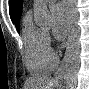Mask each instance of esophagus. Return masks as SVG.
<instances>
[{
    "label": "esophagus",
    "mask_w": 89,
    "mask_h": 89,
    "mask_svg": "<svg viewBox=\"0 0 89 89\" xmlns=\"http://www.w3.org/2000/svg\"><path fill=\"white\" fill-rule=\"evenodd\" d=\"M70 42H71V30L69 28L66 51H65L64 57H63L60 65H59L58 69L55 72V79L56 80H60L62 78L64 71L66 69L68 59H69Z\"/></svg>",
    "instance_id": "esophagus-1"
}]
</instances>
